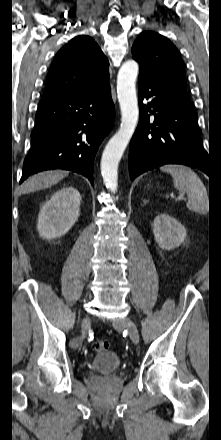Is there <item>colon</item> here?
I'll return each instance as SVG.
<instances>
[{
	"instance_id": "1",
	"label": "colon",
	"mask_w": 221,
	"mask_h": 440,
	"mask_svg": "<svg viewBox=\"0 0 221 440\" xmlns=\"http://www.w3.org/2000/svg\"><path fill=\"white\" fill-rule=\"evenodd\" d=\"M108 347H109V344H108V342H106V341H95L93 344H92V349L94 350V351H96V352H102V351H105V350H107L108 349Z\"/></svg>"
}]
</instances>
